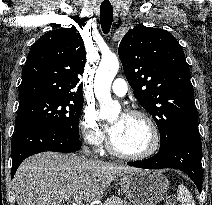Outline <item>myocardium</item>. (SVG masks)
Instances as JSON below:
<instances>
[{"instance_id": "1", "label": "myocardium", "mask_w": 212, "mask_h": 205, "mask_svg": "<svg viewBox=\"0 0 212 205\" xmlns=\"http://www.w3.org/2000/svg\"><path fill=\"white\" fill-rule=\"evenodd\" d=\"M127 115L131 117L140 118L146 123L150 133L149 145L147 146L145 150L139 153H125L118 150L114 146L110 136L107 141L108 151L116 157L126 159V160H133V161L144 160L153 156L160 147V133L155 121L149 114L143 111L133 110V111H129Z\"/></svg>"}]
</instances>
